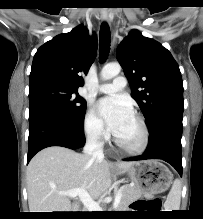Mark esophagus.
I'll return each mask as SVG.
<instances>
[{"label":"esophagus","mask_w":203,"mask_h":219,"mask_svg":"<svg viewBox=\"0 0 203 219\" xmlns=\"http://www.w3.org/2000/svg\"><path fill=\"white\" fill-rule=\"evenodd\" d=\"M102 19L104 20V21H106V22H108L109 21V18H108V14L106 13V12H102Z\"/></svg>","instance_id":"esophagus-1"}]
</instances>
